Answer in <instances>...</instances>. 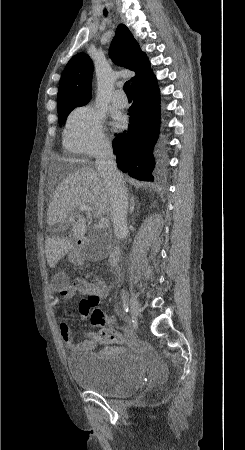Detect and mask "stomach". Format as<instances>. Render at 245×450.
Segmentation results:
<instances>
[{"label": "stomach", "instance_id": "stomach-1", "mask_svg": "<svg viewBox=\"0 0 245 450\" xmlns=\"http://www.w3.org/2000/svg\"><path fill=\"white\" fill-rule=\"evenodd\" d=\"M69 259L70 261H72L73 263H81L83 261V256L80 253L79 250L74 249L70 252L69 254Z\"/></svg>", "mask_w": 245, "mask_h": 450}]
</instances>
